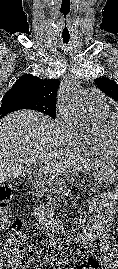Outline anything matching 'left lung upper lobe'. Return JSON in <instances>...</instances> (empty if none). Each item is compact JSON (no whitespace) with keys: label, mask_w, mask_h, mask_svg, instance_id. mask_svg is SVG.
<instances>
[{"label":"left lung upper lobe","mask_w":118,"mask_h":269,"mask_svg":"<svg viewBox=\"0 0 118 269\" xmlns=\"http://www.w3.org/2000/svg\"><path fill=\"white\" fill-rule=\"evenodd\" d=\"M95 83L102 92L118 101V85L116 82L106 77H100L95 80Z\"/></svg>","instance_id":"obj_1"}]
</instances>
